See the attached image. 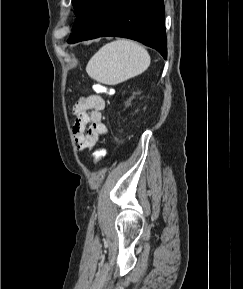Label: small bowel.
Returning a JSON list of instances; mask_svg holds the SVG:
<instances>
[{"label":"small bowel","mask_w":243,"mask_h":289,"mask_svg":"<svg viewBox=\"0 0 243 289\" xmlns=\"http://www.w3.org/2000/svg\"><path fill=\"white\" fill-rule=\"evenodd\" d=\"M104 108L105 100L99 94L82 96L75 103L73 135L79 151L92 150L106 134L107 128L102 121Z\"/></svg>","instance_id":"c3829d8e"}]
</instances>
